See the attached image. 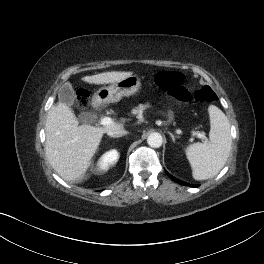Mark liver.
<instances>
[{"mask_svg": "<svg viewBox=\"0 0 264 264\" xmlns=\"http://www.w3.org/2000/svg\"><path fill=\"white\" fill-rule=\"evenodd\" d=\"M132 72H103L85 76L82 81L89 84L115 83ZM122 128L121 124L95 127L79 125L73 111L63 103L53 105L47 114L45 123V151L47 158L65 181L79 182L84 179L91 160L96 153L104 133Z\"/></svg>", "mask_w": 264, "mask_h": 264, "instance_id": "6515ba94", "label": "liver"}]
</instances>
